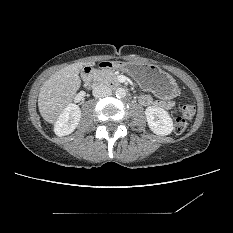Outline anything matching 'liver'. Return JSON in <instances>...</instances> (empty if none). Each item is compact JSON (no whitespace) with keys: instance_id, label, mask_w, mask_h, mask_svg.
Segmentation results:
<instances>
[{"instance_id":"6515ba94","label":"liver","mask_w":233,"mask_h":233,"mask_svg":"<svg viewBox=\"0 0 233 233\" xmlns=\"http://www.w3.org/2000/svg\"><path fill=\"white\" fill-rule=\"evenodd\" d=\"M84 63H74L53 74L42 85L38 96V108L42 118L50 124L57 121L72 102L81 86L79 77Z\"/></svg>"}]
</instances>
